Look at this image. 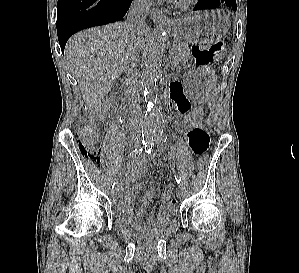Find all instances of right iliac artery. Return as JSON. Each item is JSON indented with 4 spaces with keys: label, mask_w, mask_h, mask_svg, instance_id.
I'll use <instances>...</instances> for the list:
<instances>
[{
    "label": "right iliac artery",
    "mask_w": 299,
    "mask_h": 273,
    "mask_svg": "<svg viewBox=\"0 0 299 273\" xmlns=\"http://www.w3.org/2000/svg\"><path fill=\"white\" fill-rule=\"evenodd\" d=\"M146 144H147L146 142H142L140 147H138L134 151L130 152L129 158L133 159V158L138 157L142 153L143 149L146 147ZM113 188H115V183H113V185H112V189Z\"/></svg>",
    "instance_id": "right-iliac-artery-1"
}]
</instances>
